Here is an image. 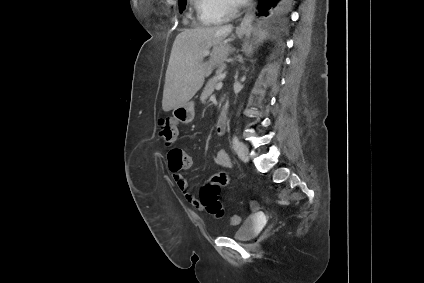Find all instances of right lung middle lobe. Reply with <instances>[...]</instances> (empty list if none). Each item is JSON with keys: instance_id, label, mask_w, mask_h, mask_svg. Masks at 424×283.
Listing matches in <instances>:
<instances>
[{"instance_id": "obj_1", "label": "right lung middle lobe", "mask_w": 424, "mask_h": 283, "mask_svg": "<svg viewBox=\"0 0 424 283\" xmlns=\"http://www.w3.org/2000/svg\"><path fill=\"white\" fill-rule=\"evenodd\" d=\"M186 1L187 0H179V9H180V12H182V10H184L185 5H186Z\"/></svg>"}]
</instances>
